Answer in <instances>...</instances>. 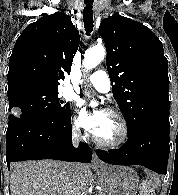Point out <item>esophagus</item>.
<instances>
[{
  "mask_svg": "<svg viewBox=\"0 0 178 195\" xmlns=\"http://www.w3.org/2000/svg\"><path fill=\"white\" fill-rule=\"evenodd\" d=\"M91 165L94 167L103 166V163L98 159L95 153H93Z\"/></svg>",
  "mask_w": 178,
  "mask_h": 195,
  "instance_id": "1",
  "label": "esophagus"
}]
</instances>
